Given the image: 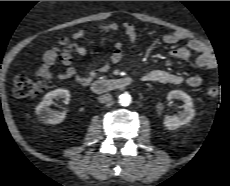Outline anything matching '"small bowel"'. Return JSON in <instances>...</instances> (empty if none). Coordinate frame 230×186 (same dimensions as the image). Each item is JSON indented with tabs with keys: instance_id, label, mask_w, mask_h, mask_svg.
Segmentation results:
<instances>
[{
	"instance_id": "c3829d8e",
	"label": "small bowel",
	"mask_w": 230,
	"mask_h": 186,
	"mask_svg": "<svg viewBox=\"0 0 230 186\" xmlns=\"http://www.w3.org/2000/svg\"><path fill=\"white\" fill-rule=\"evenodd\" d=\"M98 31L103 33H117L120 31V26L116 23H105L96 27ZM122 30L130 42H134L137 37L136 28L132 24H124ZM87 33L82 29L72 34L74 39L83 37ZM163 42L166 44H176L181 41H186L184 47L172 49L168 52L170 58L174 60H187L196 55L195 64L199 68L214 69L217 66V60L211 50L201 41L191 38L188 34L183 32H170L163 36ZM59 50L57 47L48 49L42 56L43 64L36 71V75L40 78H45L49 74V68L54 65L57 60ZM78 54L86 56L88 51L84 47L78 48ZM123 58V49L121 43H115L109 61L93 68L87 74L80 73L75 67L70 66V61L65 58L64 63L67 67L58 74V79L66 80L73 79L82 85H88L98 77L100 74L109 70L111 64L119 63ZM144 82H157V83H171L180 84L186 83L190 87H198L202 83V78L197 75L184 76L178 73H172L164 69H151L146 71L141 76Z\"/></svg>"
}]
</instances>
